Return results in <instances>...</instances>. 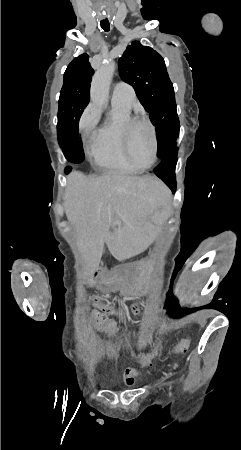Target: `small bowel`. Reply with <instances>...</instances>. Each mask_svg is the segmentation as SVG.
I'll use <instances>...</instances> for the list:
<instances>
[{
  "label": "small bowel",
  "mask_w": 241,
  "mask_h": 450,
  "mask_svg": "<svg viewBox=\"0 0 241 450\" xmlns=\"http://www.w3.org/2000/svg\"><path fill=\"white\" fill-rule=\"evenodd\" d=\"M98 288H100L102 291H109L110 289H111V284L109 283V282H104V283H101V285H96ZM139 303H142V302H139ZM140 307L138 306V305H136V304H133L132 306H131V309L133 310V311H136V310H138ZM104 309V311L106 312V313H109V314H113V313H116L115 312V310L112 308V307H104L103 308ZM121 315L123 316V317H126L127 315H128V312L126 311V310H123L122 312H121ZM102 316H104L105 317V315H103L102 314ZM106 318V323L105 324H109L110 326H113L114 328H115V325H114V323L113 322H111L107 317H105ZM114 331V330H113ZM113 331H110V332H113ZM136 375V371L134 370V369H127L126 370V376H125V381H126V383L128 384V385H131L132 383H133V380H134V376Z\"/></svg>",
  "instance_id": "small-bowel-1"
}]
</instances>
